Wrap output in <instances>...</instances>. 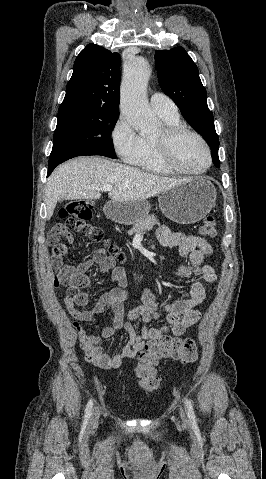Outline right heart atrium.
<instances>
[{
	"label": "right heart atrium",
	"mask_w": 266,
	"mask_h": 479,
	"mask_svg": "<svg viewBox=\"0 0 266 479\" xmlns=\"http://www.w3.org/2000/svg\"><path fill=\"white\" fill-rule=\"evenodd\" d=\"M111 141L116 153L127 163H134L142 153V137L123 115L119 116L111 130Z\"/></svg>",
	"instance_id": "right-heart-atrium-1"
}]
</instances>
